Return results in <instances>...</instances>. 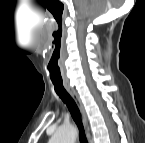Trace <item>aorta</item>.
<instances>
[{
	"label": "aorta",
	"instance_id": "obj_1",
	"mask_svg": "<svg viewBox=\"0 0 145 143\" xmlns=\"http://www.w3.org/2000/svg\"><path fill=\"white\" fill-rule=\"evenodd\" d=\"M76 140V130L72 126L60 127L52 136V143H74Z\"/></svg>",
	"mask_w": 145,
	"mask_h": 143
}]
</instances>
